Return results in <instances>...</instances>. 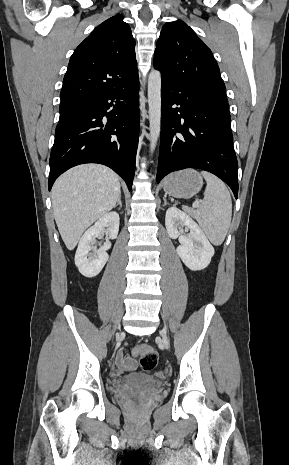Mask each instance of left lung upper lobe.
Wrapping results in <instances>:
<instances>
[{"instance_id": "5c2ea615", "label": "left lung upper lobe", "mask_w": 289, "mask_h": 465, "mask_svg": "<svg viewBox=\"0 0 289 465\" xmlns=\"http://www.w3.org/2000/svg\"><path fill=\"white\" fill-rule=\"evenodd\" d=\"M154 66L161 71L162 81L226 97L225 84L211 50L180 20L163 26Z\"/></svg>"}]
</instances>
